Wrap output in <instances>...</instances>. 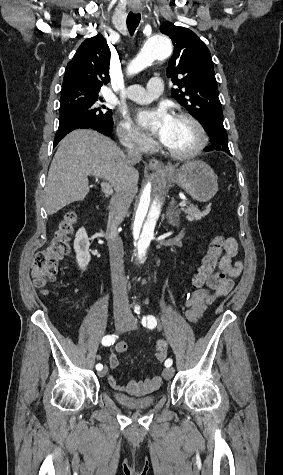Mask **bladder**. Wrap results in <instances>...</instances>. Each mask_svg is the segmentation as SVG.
Returning a JSON list of instances; mask_svg holds the SVG:
<instances>
[{"instance_id": "bladder-1", "label": "bladder", "mask_w": 283, "mask_h": 475, "mask_svg": "<svg viewBox=\"0 0 283 475\" xmlns=\"http://www.w3.org/2000/svg\"><path fill=\"white\" fill-rule=\"evenodd\" d=\"M112 399L125 409H137V410L149 409L155 406L157 402L156 395L145 396L142 398H135L118 391L113 393Z\"/></svg>"}]
</instances>
